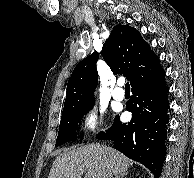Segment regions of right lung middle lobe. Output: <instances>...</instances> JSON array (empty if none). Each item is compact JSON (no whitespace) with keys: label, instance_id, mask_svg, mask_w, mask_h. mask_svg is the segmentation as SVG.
Instances as JSON below:
<instances>
[{"label":"right lung middle lobe","instance_id":"right-lung-middle-lobe-1","mask_svg":"<svg viewBox=\"0 0 194 178\" xmlns=\"http://www.w3.org/2000/svg\"><path fill=\"white\" fill-rule=\"evenodd\" d=\"M93 103L62 114L56 145L76 139V128L82 117L92 109Z\"/></svg>","mask_w":194,"mask_h":178}]
</instances>
